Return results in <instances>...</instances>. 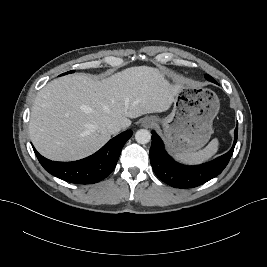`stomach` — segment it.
<instances>
[{
	"label": "stomach",
	"mask_w": 267,
	"mask_h": 267,
	"mask_svg": "<svg viewBox=\"0 0 267 267\" xmlns=\"http://www.w3.org/2000/svg\"><path fill=\"white\" fill-rule=\"evenodd\" d=\"M220 108L214 91L196 85H181L172 112L162 120L164 139L174 153L194 152L210 140L213 120Z\"/></svg>",
	"instance_id": "obj_1"
}]
</instances>
